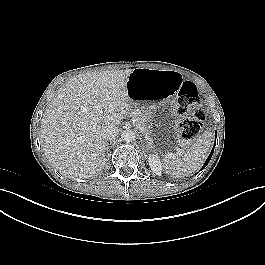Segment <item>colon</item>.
I'll use <instances>...</instances> for the list:
<instances>
[{
  "label": "colon",
  "mask_w": 265,
  "mask_h": 265,
  "mask_svg": "<svg viewBox=\"0 0 265 265\" xmlns=\"http://www.w3.org/2000/svg\"><path fill=\"white\" fill-rule=\"evenodd\" d=\"M176 110L179 115L185 116L181 122L182 137L186 140L194 139L206 115L200 108L198 91L191 82L182 83Z\"/></svg>",
  "instance_id": "colon-1"
}]
</instances>
